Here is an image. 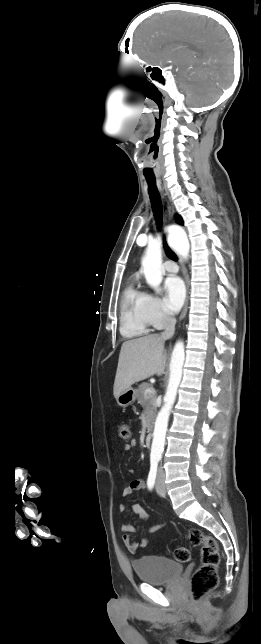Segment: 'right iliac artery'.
<instances>
[{
  "instance_id": "right-iliac-artery-1",
  "label": "right iliac artery",
  "mask_w": 261,
  "mask_h": 644,
  "mask_svg": "<svg viewBox=\"0 0 261 644\" xmlns=\"http://www.w3.org/2000/svg\"><path fill=\"white\" fill-rule=\"evenodd\" d=\"M150 472L148 475L147 479V486L150 490L153 489L154 484H155V479H156V474H157V466H158V460L156 459H151L150 462Z\"/></svg>"
}]
</instances>
